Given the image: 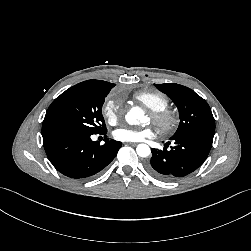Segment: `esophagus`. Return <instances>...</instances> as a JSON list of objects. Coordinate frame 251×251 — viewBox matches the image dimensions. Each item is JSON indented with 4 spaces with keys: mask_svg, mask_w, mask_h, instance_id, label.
Instances as JSON below:
<instances>
[{
    "mask_svg": "<svg viewBox=\"0 0 251 251\" xmlns=\"http://www.w3.org/2000/svg\"><path fill=\"white\" fill-rule=\"evenodd\" d=\"M126 144L131 145V146H136L137 145V143H133V142H127Z\"/></svg>",
    "mask_w": 251,
    "mask_h": 251,
    "instance_id": "34e87169",
    "label": "esophagus"
}]
</instances>
